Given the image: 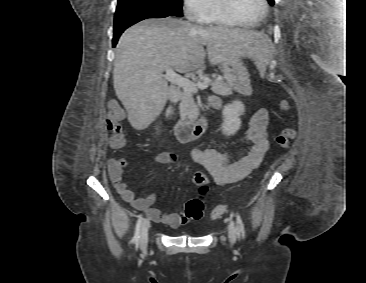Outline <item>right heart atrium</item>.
I'll return each mask as SVG.
<instances>
[{
	"label": "right heart atrium",
	"mask_w": 366,
	"mask_h": 283,
	"mask_svg": "<svg viewBox=\"0 0 366 283\" xmlns=\"http://www.w3.org/2000/svg\"><path fill=\"white\" fill-rule=\"evenodd\" d=\"M186 15L194 20H201L207 13L210 0H183Z\"/></svg>",
	"instance_id": "d8ad5b80"
}]
</instances>
